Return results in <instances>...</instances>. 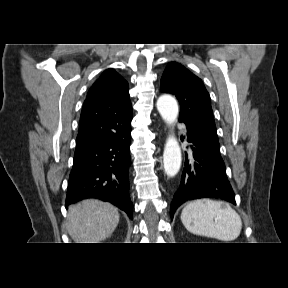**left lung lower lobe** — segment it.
I'll return each mask as SVG.
<instances>
[{
	"mask_svg": "<svg viewBox=\"0 0 288 288\" xmlns=\"http://www.w3.org/2000/svg\"><path fill=\"white\" fill-rule=\"evenodd\" d=\"M184 123L188 141L191 143L193 161H186L180 187L171 202V218L176 209L187 200L213 197L236 204L234 192L225 173V164L220 156L219 141L210 138L195 125Z\"/></svg>",
	"mask_w": 288,
	"mask_h": 288,
	"instance_id": "left-lung-lower-lobe-1",
	"label": "left lung lower lobe"
}]
</instances>
